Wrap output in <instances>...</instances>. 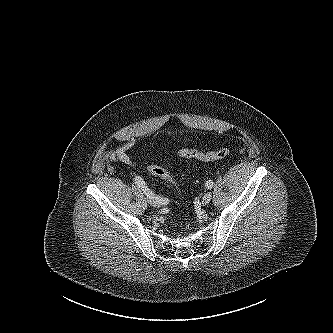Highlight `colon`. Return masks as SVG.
Listing matches in <instances>:
<instances>
[{
	"mask_svg": "<svg viewBox=\"0 0 333 333\" xmlns=\"http://www.w3.org/2000/svg\"><path fill=\"white\" fill-rule=\"evenodd\" d=\"M230 152L231 150L229 148H222L211 152H201L196 149H182L179 151V155L184 158L199 159L202 161H215L227 157ZM148 171L151 175L155 177L171 183H176L172 175L166 169L160 166L151 165L149 166Z\"/></svg>",
	"mask_w": 333,
	"mask_h": 333,
	"instance_id": "1",
	"label": "colon"
}]
</instances>
